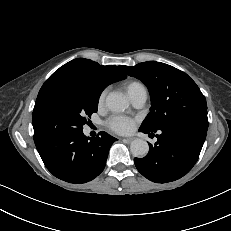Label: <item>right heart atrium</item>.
<instances>
[{
	"instance_id": "1",
	"label": "right heart atrium",
	"mask_w": 231,
	"mask_h": 231,
	"mask_svg": "<svg viewBox=\"0 0 231 231\" xmlns=\"http://www.w3.org/2000/svg\"><path fill=\"white\" fill-rule=\"evenodd\" d=\"M106 96V90L102 91L98 97V104L101 105L104 102Z\"/></svg>"
}]
</instances>
